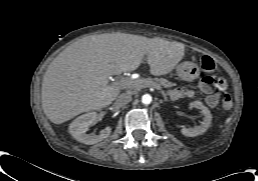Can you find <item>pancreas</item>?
<instances>
[{
    "label": "pancreas",
    "mask_w": 258,
    "mask_h": 181,
    "mask_svg": "<svg viewBox=\"0 0 258 181\" xmlns=\"http://www.w3.org/2000/svg\"><path fill=\"white\" fill-rule=\"evenodd\" d=\"M136 82L143 81V87L153 86V87H164V88H172L175 86V83H172L164 78H142L135 80ZM131 89L138 90L136 86H130Z\"/></svg>",
    "instance_id": "obj_1"
}]
</instances>
